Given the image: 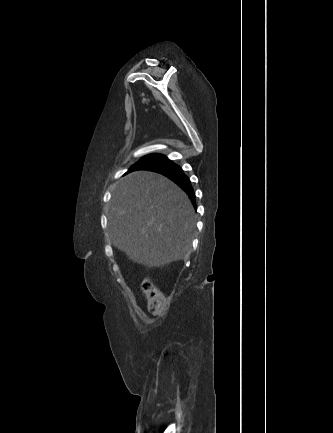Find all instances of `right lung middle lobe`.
Here are the masks:
<instances>
[{
	"instance_id": "obj_1",
	"label": "right lung middle lobe",
	"mask_w": 333,
	"mask_h": 433,
	"mask_svg": "<svg viewBox=\"0 0 333 433\" xmlns=\"http://www.w3.org/2000/svg\"><path fill=\"white\" fill-rule=\"evenodd\" d=\"M163 155H159V154H151L149 156L144 157L143 159H141L139 162H137L135 165H133L130 168V171H132L133 169H136L140 166H142L143 164L155 161L157 159H159L160 157H162Z\"/></svg>"
}]
</instances>
